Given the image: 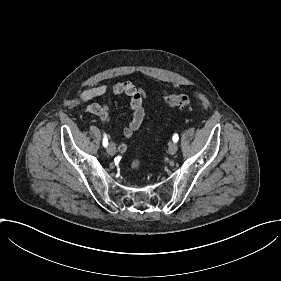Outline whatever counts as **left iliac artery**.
I'll list each match as a JSON object with an SVG mask.
<instances>
[{"instance_id": "1", "label": "left iliac artery", "mask_w": 281, "mask_h": 281, "mask_svg": "<svg viewBox=\"0 0 281 281\" xmlns=\"http://www.w3.org/2000/svg\"><path fill=\"white\" fill-rule=\"evenodd\" d=\"M172 139L176 143L179 139L178 134H175Z\"/></svg>"}]
</instances>
